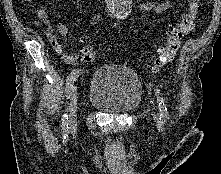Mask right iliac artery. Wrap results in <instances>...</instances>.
Masks as SVG:
<instances>
[{
    "instance_id": "1",
    "label": "right iliac artery",
    "mask_w": 221,
    "mask_h": 174,
    "mask_svg": "<svg viewBox=\"0 0 221 174\" xmlns=\"http://www.w3.org/2000/svg\"><path fill=\"white\" fill-rule=\"evenodd\" d=\"M81 73H82V71L80 69H75L67 77L66 90H65L67 99L70 98L71 92H72V89H73V84ZM61 125H62L63 128L68 127V116H67V114L63 115V117L61 119Z\"/></svg>"
}]
</instances>
